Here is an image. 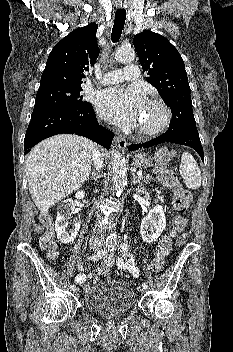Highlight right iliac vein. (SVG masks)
<instances>
[{"instance_id": "1", "label": "right iliac vein", "mask_w": 233, "mask_h": 352, "mask_svg": "<svg viewBox=\"0 0 233 352\" xmlns=\"http://www.w3.org/2000/svg\"><path fill=\"white\" fill-rule=\"evenodd\" d=\"M74 291H75L76 294L79 293V289L78 288H76Z\"/></svg>"}]
</instances>
